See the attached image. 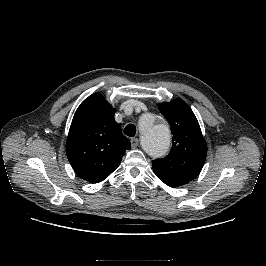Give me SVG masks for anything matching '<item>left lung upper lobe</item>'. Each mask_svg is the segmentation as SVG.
Returning <instances> with one entry per match:
<instances>
[{
	"label": "left lung upper lobe",
	"mask_w": 266,
	"mask_h": 266,
	"mask_svg": "<svg viewBox=\"0 0 266 266\" xmlns=\"http://www.w3.org/2000/svg\"><path fill=\"white\" fill-rule=\"evenodd\" d=\"M162 115L171 126L173 144L163 159L153 160L157 177L170 187H178L195 179L207 156V144L199 123L182 99L159 104Z\"/></svg>",
	"instance_id": "5c2ea615"
}]
</instances>
